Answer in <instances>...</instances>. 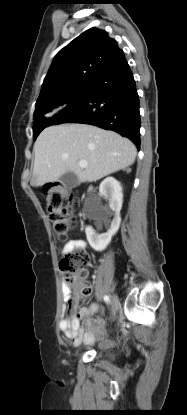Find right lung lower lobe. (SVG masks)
I'll list each match as a JSON object with an SVG mask.
<instances>
[{"mask_svg":"<svg viewBox=\"0 0 187 415\" xmlns=\"http://www.w3.org/2000/svg\"><path fill=\"white\" fill-rule=\"evenodd\" d=\"M84 123L113 130L140 147L139 96L124 53L89 81V90L54 116L53 124Z\"/></svg>","mask_w":187,"mask_h":415,"instance_id":"1","label":"right lung lower lobe"}]
</instances>
